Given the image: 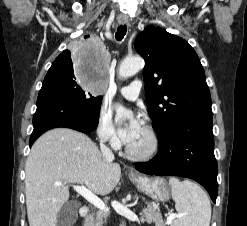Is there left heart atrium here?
Wrapping results in <instances>:
<instances>
[{"label":"left heart atrium","instance_id":"left-heart-atrium-1","mask_svg":"<svg viewBox=\"0 0 247 226\" xmlns=\"http://www.w3.org/2000/svg\"><path fill=\"white\" fill-rule=\"evenodd\" d=\"M142 122L138 118H133L129 124L121 130L120 135L122 140L128 144L130 143L142 130Z\"/></svg>","mask_w":247,"mask_h":226}]
</instances>
